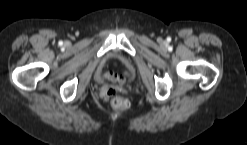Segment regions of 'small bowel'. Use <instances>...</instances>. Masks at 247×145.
I'll use <instances>...</instances> for the list:
<instances>
[{
    "label": "small bowel",
    "mask_w": 247,
    "mask_h": 145,
    "mask_svg": "<svg viewBox=\"0 0 247 145\" xmlns=\"http://www.w3.org/2000/svg\"><path fill=\"white\" fill-rule=\"evenodd\" d=\"M130 77V73L128 71H123L120 74H115L113 72H107L103 75H100V79H108L118 84L119 87H122L127 79Z\"/></svg>",
    "instance_id": "small-bowel-1"
}]
</instances>
